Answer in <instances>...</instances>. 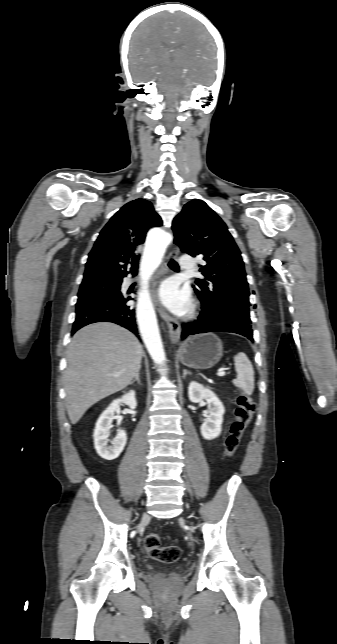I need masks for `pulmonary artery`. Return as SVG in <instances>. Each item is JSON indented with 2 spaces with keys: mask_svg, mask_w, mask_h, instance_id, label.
<instances>
[{
  "mask_svg": "<svg viewBox=\"0 0 337 644\" xmlns=\"http://www.w3.org/2000/svg\"><path fill=\"white\" fill-rule=\"evenodd\" d=\"M180 266L182 269L190 270L194 267V259L189 255H183L180 258Z\"/></svg>",
  "mask_w": 337,
  "mask_h": 644,
  "instance_id": "pulmonary-artery-1",
  "label": "pulmonary artery"
}]
</instances>
